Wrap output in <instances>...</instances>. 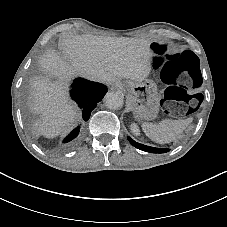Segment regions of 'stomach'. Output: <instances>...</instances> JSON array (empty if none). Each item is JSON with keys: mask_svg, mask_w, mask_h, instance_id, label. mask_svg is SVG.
<instances>
[{"mask_svg": "<svg viewBox=\"0 0 227 227\" xmlns=\"http://www.w3.org/2000/svg\"><path fill=\"white\" fill-rule=\"evenodd\" d=\"M128 91L133 107V113L137 118L146 120L154 119L159 112V96L152 81L144 83H123Z\"/></svg>", "mask_w": 227, "mask_h": 227, "instance_id": "1", "label": "stomach"}]
</instances>
